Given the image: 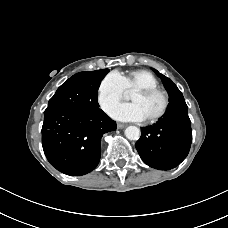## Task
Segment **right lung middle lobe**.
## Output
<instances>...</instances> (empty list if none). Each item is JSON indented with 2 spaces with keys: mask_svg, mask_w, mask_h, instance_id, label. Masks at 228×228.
I'll use <instances>...</instances> for the list:
<instances>
[{
  "mask_svg": "<svg viewBox=\"0 0 228 228\" xmlns=\"http://www.w3.org/2000/svg\"><path fill=\"white\" fill-rule=\"evenodd\" d=\"M108 69L79 72L69 78L49 100L48 107H64L88 111L99 107L97 92Z\"/></svg>",
  "mask_w": 228,
  "mask_h": 228,
  "instance_id": "right-lung-middle-lobe-1",
  "label": "right lung middle lobe"
}]
</instances>
